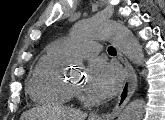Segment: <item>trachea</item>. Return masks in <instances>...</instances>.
I'll list each match as a JSON object with an SVG mask.
<instances>
[{"label": "trachea", "instance_id": "1", "mask_svg": "<svg viewBox=\"0 0 165 120\" xmlns=\"http://www.w3.org/2000/svg\"><path fill=\"white\" fill-rule=\"evenodd\" d=\"M108 53H109L110 55H114V54H116V49H115L114 47L110 46V47L108 48Z\"/></svg>", "mask_w": 165, "mask_h": 120}]
</instances>
